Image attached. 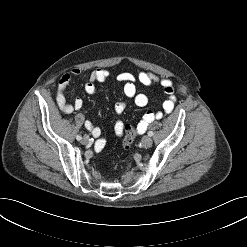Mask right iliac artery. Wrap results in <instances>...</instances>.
Returning <instances> with one entry per match:
<instances>
[{
    "label": "right iliac artery",
    "instance_id": "right-iliac-artery-1",
    "mask_svg": "<svg viewBox=\"0 0 247 247\" xmlns=\"http://www.w3.org/2000/svg\"><path fill=\"white\" fill-rule=\"evenodd\" d=\"M76 139H77L78 141H80V140L82 139V137H81L80 135H77V136H76Z\"/></svg>",
    "mask_w": 247,
    "mask_h": 247
}]
</instances>
